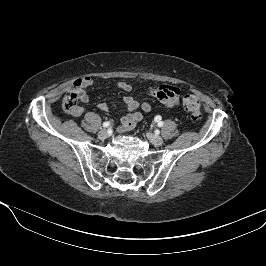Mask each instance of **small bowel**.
Segmentation results:
<instances>
[{
    "instance_id": "1",
    "label": "small bowel",
    "mask_w": 266,
    "mask_h": 266,
    "mask_svg": "<svg viewBox=\"0 0 266 266\" xmlns=\"http://www.w3.org/2000/svg\"><path fill=\"white\" fill-rule=\"evenodd\" d=\"M92 84L93 80L90 77L79 79L76 82L79 100L81 102L87 103L89 101V95L86 89ZM117 87L125 92H130L132 90V86L127 82H118ZM148 94L158 98L160 102L169 110H172L179 105L180 89L175 86L167 84L152 86L148 89ZM124 103L127 106L128 113L121 118V125L118 128L119 131L131 129L138 121L142 119L143 113H148L151 110L150 104L143 102L141 104L142 112L137 111L139 102L133 96H126L124 98ZM98 108L102 111L108 110L106 103L98 104ZM84 111V107L78 106L77 109L71 114L74 116H80Z\"/></svg>"
}]
</instances>
